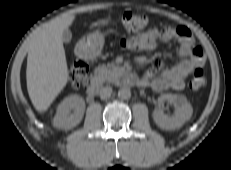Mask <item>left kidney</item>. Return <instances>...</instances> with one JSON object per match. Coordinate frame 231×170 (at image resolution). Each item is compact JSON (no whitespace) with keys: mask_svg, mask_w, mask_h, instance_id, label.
Here are the masks:
<instances>
[{"mask_svg":"<svg viewBox=\"0 0 231 170\" xmlns=\"http://www.w3.org/2000/svg\"><path fill=\"white\" fill-rule=\"evenodd\" d=\"M164 102H169L174 105L176 112L172 117L164 114L161 105ZM159 107L154 110L153 118L155 123L162 129L174 130L180 128L193 113L191 104L183 95L163 94L158 98Z\"/></svg>","mask_w":231,"mask_h":170,"instance_id":"5707ae66","label":"left kidney"}]
</instances>
